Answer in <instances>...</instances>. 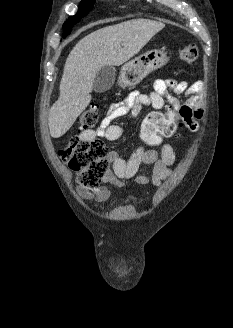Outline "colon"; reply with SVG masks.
I'll return each instance as SVG.
<instances>
[{
  "mask_svg": "<svg viewBox=\"0 0 233 328\" xmlns=\"http://www.w3.org/2000/svg\"><path fill=\"white\" fill-rule=\"evenodd\" d=\"M182 62L193 64L198 60L199 50L191 44L179 51ZM100 116L98 104L92 103L79 116L78 124L83 130H91ZM180 115L175 111L152 112L143 121L141 138L149 146H159L166 137L177 136L182 125ZM62 162L77 173V182L85 189L94 191L100 188L108 168V152L102 141L71 138L59 151Z\"/></svg>",
  "mask_w": 233,
  "mask_h": 328,
  "instance_id": "obj_1",
  "label": "colon"
}]
</instances>
